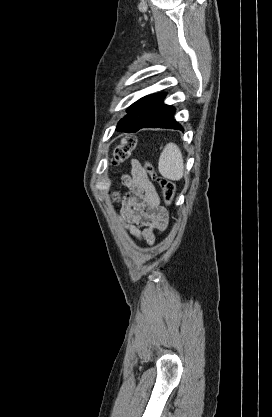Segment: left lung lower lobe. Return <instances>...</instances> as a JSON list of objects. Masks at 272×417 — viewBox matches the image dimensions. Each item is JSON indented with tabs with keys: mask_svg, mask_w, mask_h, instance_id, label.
I'll return each instance as SVG.
<instances>
[{
	"mask_svg": "<svg viewBox=\"0 0 272 417\" xmlns=\"http://www.w3.org/2000/svg\"><path fill=\"white\" fill-rule=\"evenodd\" d=\"M175 108L162 103L160 108L153 113L139 128H168V129H179L183 131V127L174 120ZM136 129L132 132H136Z\"/></svg>",
	"mask_w": 272,
	"mask_h": 417,
	"instance_id": "obj_1",
	"label": "left lung lower lobe"
}]
</instances>
